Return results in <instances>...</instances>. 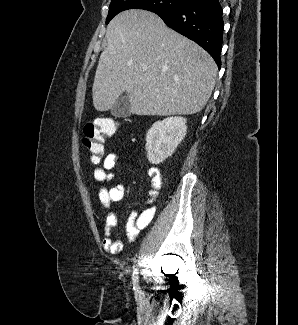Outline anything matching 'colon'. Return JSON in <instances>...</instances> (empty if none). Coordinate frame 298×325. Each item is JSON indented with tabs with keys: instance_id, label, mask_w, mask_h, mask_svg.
Wrapping results in <instances>:
<instances>
[{
	"instance_id": "obj_1",
	"label": "colon",
	"mask_w": 298,
	"mask_h": 325,
	"mask_svg": "<svg viewBox=\"0 0 298 325\" xmlns=\"http://www.w3.org/2000/svg\"><path fill=\"white\" fill-rule=\"evenodd\" d=\"M118 125L116 120L110 118H97L85 125L82 142L90 153L92 162L101 157L104 142L116 132Z\"/></svg>"
}]
</instances>
